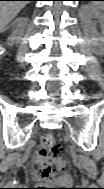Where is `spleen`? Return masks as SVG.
<instances>
[{
	"label": "spleen",
	"mask_w": 104,
	"mask_h": 189,
	"mask_svg": "<svg viewBox=\"0 0 104 189\" xmlns=\"http://www.w3.org/2000/svg\"><path fill=\"white\" fill-rule=\"evenodd\" d=\"M100 3H101V2H94V5L99 6V5H101ZM101 7H102V6H101Z\"/></svg>",
	"instance_id": "spleen-1"
}]
</instances>
